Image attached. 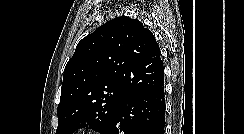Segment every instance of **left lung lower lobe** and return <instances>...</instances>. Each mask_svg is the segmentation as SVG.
I'll list each match as a JSON object with an SVG mask.
<instances>
[{
  "instance_id": "left-lung-lower-lobe-1",
  "label": "left lung lower lobe",
  "mask_w": 244,
  "mask_h": 134,
  "mask_svg": "<svg viewBox=\"0 0 244 134\" xmlns=\"http://www.w3.org/2000/svg\"><path fill=\"white\" fill-rule=\"evenodd\" d=\"M164 85L129 96L117 109L105 134H164Z\"/></svg>"
}]
</instances>
